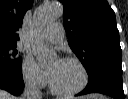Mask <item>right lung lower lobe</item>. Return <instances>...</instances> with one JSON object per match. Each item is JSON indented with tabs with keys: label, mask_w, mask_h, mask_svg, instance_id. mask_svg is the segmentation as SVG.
Here are the masks:
<instances>
[{
	"label": "right lung lower lobe",
	"mask_w": 128,
	"mask_h": 99,
	"mask_svg": "<svg viewBox=\"0 0 128 99\" xmlns=\"http://www.w3.org/2000/svg\"><path fill=\"white\" fill-rule=\"evenodd\" d=\"M0 88L13 95H20L24 89L22 75L19 77H13L5 73H0Z\"/></svg>",
	"instance_id": "1"
}]
</instances>
